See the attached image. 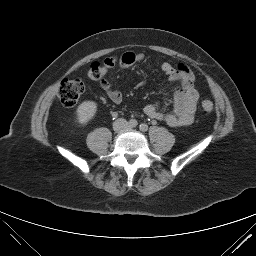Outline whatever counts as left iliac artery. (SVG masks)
<instances>
[{"label": "left iliac artery", "instance_id": "left-iliac-artery-1", "mask_svg": "<svg viewBox=\"0 0 256 256\" xmlns=\"http://www.w3.org/2000/svg\"><path fill=\"white\" fill-rule=\"evenodd\" d=\"M139 129H140L141 131L145 132V131L148 130V126H147V124L142 123V124L139 125Z\"/></svg>", "mask_w": 256, "mask_h": 256}]
</instances>
